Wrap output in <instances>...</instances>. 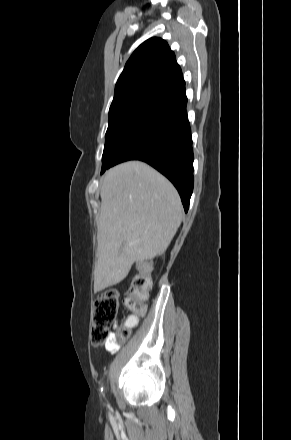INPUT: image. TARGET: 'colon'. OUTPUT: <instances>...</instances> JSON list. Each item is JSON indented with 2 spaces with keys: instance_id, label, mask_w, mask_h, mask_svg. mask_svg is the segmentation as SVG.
Returning a JSON list of instances; mask_svg holds the SVG:
<instances>
[{
  "instance_id": "1",
  "label": "colon",
  "mask_w": 291,
  "mask_h": 440,
  "mask_svg": "<svg viewBox=\"0 0 291 440\" xmlns=\"http://www.w3.org/2000/svg\"><path fill=\"white\" fill-rule=\"evenodd\" d=\"M153 264L152 260H146L142 264V271L129 278L124 290H107L95 300L90 330V340L94 346L111 342L112 335L116 342H124L129 338L130 327L118 328L113 333L110 331L118 314L119 297L124 296L129 316L142 317L146 311L145 301L151 286L149 272Z\"/></svg>"
}]
</instances>
